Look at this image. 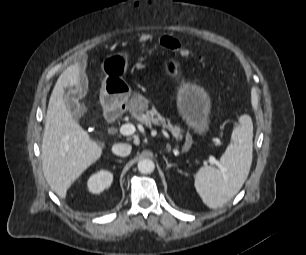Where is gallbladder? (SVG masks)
Returning a JSON list of instances; mask_svg holds the SVG:
<instances>
[{
	"label": "gallbladder",
	"mask_w": 306,
	"mask_h": 255,
	"mask_svg": "<svg viewBox=\"0 0 306 255\" xmlns=\"http://www.w3.org/2000/svg\"><path fill=\"white\" fill-rule=\"evenodd\" d=\"M65 104L69 112H71L74 116L75 120H78L80 109V104L78 102V98L76 97V91L69 90L64 96Z\"/></svg>",
	"instance_id": "1"
}]
</instances>
